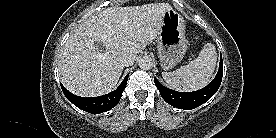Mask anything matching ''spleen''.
I'll list each match as a JSON object with an SVG mask.
<instances>
[{"label":"spleen","mask_w":276,"mask_h":138,"mask_svg":"<svg viewBox=\"0 0 276 138\" xmlns=\"http://www.w3.org/2000/svg\"><path fill=\"white\" fill-rule=\"evenodd\" d=\"M216 61V48L213 44L207 43L196 59L173 72H163L162 77L177 91H195L208 84L215 70Z\"/></svg>","instance_id":"1"}]
</instances>
